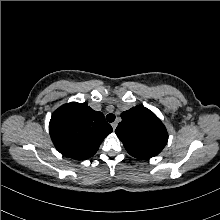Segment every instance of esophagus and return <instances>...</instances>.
<instances>
[{
	"label": "esophagus",
	"mask_w": 220,
	"mask_h": 220,
	"mask_svg": "<svg viewBox=\"0 0 220 220\" xmlns=\"http://www.w3.org/2000/svg\"><path fill=\"white\" fill-rule=\"evenodd\" d=\"M117 125H118V123H117V122H113V123L111 124V126H112L113 130H115V129H116Z\"/></svg>",
	"instance_id": "1"
}]
</instances>
